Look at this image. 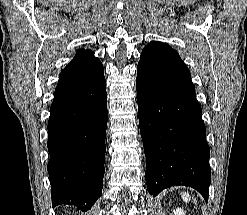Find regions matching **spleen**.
I'll use <instances>...</instances> for the list:
<instances>
[{
	"mask_svg": "<svg viewBox=\"0 0 247 215\" xmlns=\"http://www.w3.org/2000/svg\"><path fill=\"white\" fill-rule=\"evenodd\" d=\"M181 196L184 202H189L191 200V196L188 192H181ZM192 200L197 203V199L192 197Z\"/></svg>",
	"mask_w": 247,
	"mask_h": 215,
	"instance_id": "spleen-1",
	"label": "spleen"
}]
</instances>
